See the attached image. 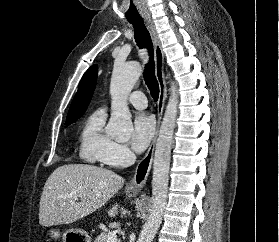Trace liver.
Wrapping results in <instances>:
<instances>
[{"label":"liver","mask_w":279,"mask_h":242,"mask_svg":"<svg viewBox=\"0 0 279 242\" xmlns=\"http://www.w3.org/2000/svg\"><path fill=\"white\" fill-rule=\"evenodd\" d=\"M123 185V177L109 169L86 164L60 166L44 185L39 223L46 227L73 223L105 205ZM117 213L116 203L108 215Z\"/></svg>","instance_id":"6515ba94"}]
</instances>
